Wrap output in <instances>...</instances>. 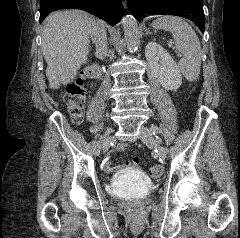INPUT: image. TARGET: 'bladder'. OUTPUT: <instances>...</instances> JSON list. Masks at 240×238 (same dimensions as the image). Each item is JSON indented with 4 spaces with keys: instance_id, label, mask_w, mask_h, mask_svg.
<instances>
[{
    "instance_id": "1",
    "label": "bladder",
    "mask_w": 240,
    "mask_h": 238,
    "mask_svg": "<svg viewBox=\"0 0 240 238\" xmlns=\"http://www.w3.org/2000/svg\"><path fill=\"white\" fill-rule=\"evenodd\" d=\"M151 189V182L138 169L128 168L115 177L110 185L113 196H142Z\"/></svg>"
}]
</instances>
